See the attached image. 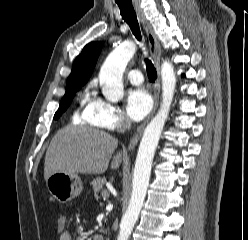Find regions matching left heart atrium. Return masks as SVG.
<instances>
[{"mask_svg":"<svg viewBox=\"0 0 248 240\" xmlns=\"http://www.w3.org/2000/svg\"><path fill=\"white\" fill-rule=\"evenodd\" d=\"M152 108V98L144 88L129 91L126 100L127 114L133 121L143 119Z\"/></svg>","mask_w":248,"mask_h":240,"instance_id":"left-heart-atrium-1","label":"left heart atrium"}]
</instances>
